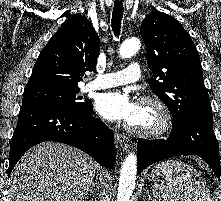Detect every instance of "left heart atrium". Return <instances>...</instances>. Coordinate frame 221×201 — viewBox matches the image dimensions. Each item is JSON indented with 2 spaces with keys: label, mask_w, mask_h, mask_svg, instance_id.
Listing matches in <instances>:
<instances>
[{
  "label": "left heart atrium",
  "mask_w": 221,
  "mask_h": 201,
  "mask_svg": "<svg viewBox=\"0 0 221 201\" xmlns=\"http://www.w3.org/2000/svg\"><path fill=\"white\" fill-rule=\"evenodd\" d=\"M96 110L107 120L131 123L138 113V105L126 92L113 90L99 95Z\"/></svg>",
  "instance_id": "left-heart-atrium-1"
}]
</instances>
